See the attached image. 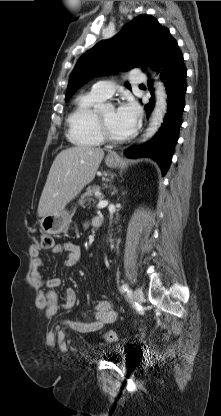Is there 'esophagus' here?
Wrapping results in <instances>:
<instances>
[{"mask_svg": "<svg viewBox=\"0 0 221 416\" xmlns=\"http://www.w3.org/2000/svg\"><path fill=\"white\" fill-rule=\"evenodd\" d=\"M109 157H110V158H117V155H115V154L111 153V154H109Z\"/></svg>", "mask_w": 221, "mask_h": 416, "instance_id": "obj_1", "label": "esophagus"}]
</instances>
